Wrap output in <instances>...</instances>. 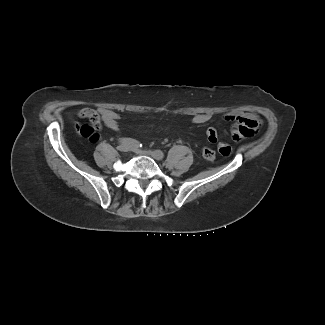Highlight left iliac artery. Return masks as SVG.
<instances>
[{
    "label": "left iliac artery",
    "instance_id": "44dca946",
    "mask_svg": "<svg viewBox=\"0 0 325 325\" xmlns=\"http://www.w3.org/2000/svg\"><path fill=\"white\" fill-rule=\"evenodd\" d=\"M156 153L158 154L160 159H162L164 157V153L162 151L156 150Z\"/></svg>",
    "mask_w": 325,
    "mask_h": 325
}]
</instances>
